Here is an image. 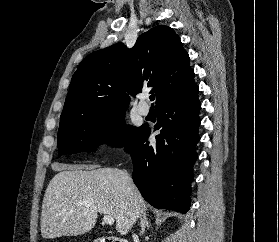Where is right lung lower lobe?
Returning a JSON list of instances; mask_svg holds the SVG:
<instances>
[{
	"mask_svg": "<svg viewBox=\"0 0 279 242\" xmlns=\"http://www.w3.org/2000/svg\"><path fill=\"white\" fill-rule=\"evenodd\" d=\"M198 86L156 107V144L147 141L150 128L143 125L125 150L132 156L133 181L143 198L157 209L186 213L190 207L191 170L200 140Z\"/></svg>",
	"mask_w": 279,
	"mask_h": 242,
	"instance_id": "1",
	"label": "right lung lower lobe"
}]
</instances>
